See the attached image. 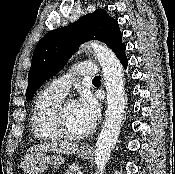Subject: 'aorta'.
<instances>
[{"label":"aorta","mask_w":175,"mask_h":174,"mask_svg":"<svg viewBox=\"0 0 175 174\" xmlns=\"http://www.w3.org/2000/svg\"><path fill=\"white\" fill-rule=\"evenodd\" d=\"M86 47L93 49L101 65L107 95L105 122L95 150L96 173L103 174L118 140L125 112L123 69L119 59L106 45L92 41Z\"/></svg>","instance_id":"762f6f07"}]
</instances>
